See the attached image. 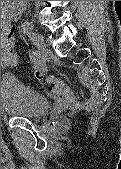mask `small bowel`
<instances>
[{
    "label": "small bowel",
    "mask_w": 121,
    "mask_h": 169,
    "mask_svg": "<svg viewBox=\"0 0 121 169\" xmlns=\"http://www.w3.org/2000/svg\"><path fill=\"white\" fill-rule=\"evenodd\" d=\"M23 8V1H10L9 4L4 7L1 16V44H3L4 41L8 40L11 44L15 45V39L13 36L14 30L11 23L20 17Z\"/></svg>",
    "instance_id": "small-bowel-1"
}]
</instances>
